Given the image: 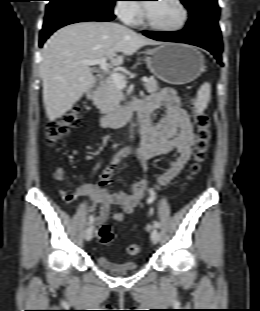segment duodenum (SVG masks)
I'll use <instances>...</instances> for the list:
<instances>
[{
  "mask_svg": "<svg viewBox=\"0 0 260 311\" xmlns=\"http://www.w3.org/2000/svg\"><path fill=\"white\" fill-rule=\"evenodd\" d=\"M105 76L96 77L93 84L89 87L87 91V99L90 103L94 104L97 101L101 86L105 83ZM143 102L132 101L122 104L117 109L100 117V123L107 126H120L126 123L135 112H140L143 109Z\"/></svg>",
  "mask_w": 260,
  "mask_h": 311,
  "instance_id": "duodenum-1",
  "label": "duodenum"
}]
</instances>
